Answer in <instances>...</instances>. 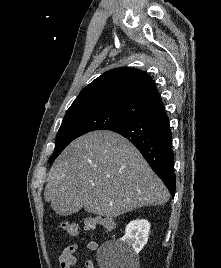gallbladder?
Instances as JSON below:
<instances>
[{"instance_id":"obj_1","label":"gallbladder","mask_w":221,"mask_h":268,"mask_svg":"<svg viewBox=\"0 0 221 268\" xmlns=\"http://www.w3.org/2000/svg\"><path fill=\"white\" fill-rule=\"evenodd\" d=\"M53 213H59L60 217H69L70 213L78 212L83 207L80 199H55L52 202Z\"/></svg>"}]
</instances>
